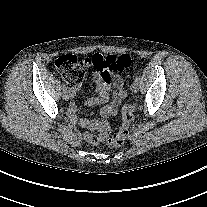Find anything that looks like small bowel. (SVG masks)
I'll return each mask as SVG.
<instances>
[{
    "mask_svg": "<svg viewBox=\"0 0 207 207\" xmlns=\"http://www.w3.org/2000/svg\"><path fill=\"white\" fill-rule=\"evenodd\" d=\"M93 82L96 86V90L99 94L98 97H90L85 101L87 106H93L95 104H102L100 109V115L104 118L113 116L117 113L121 101L124 99L126 93L124 90V80L121 76L109 72L107 77H104L101 72H95L93 74ZM111 84L114 90L111 91ZM71 97L76 94L75 89L69 91ZM68 112L71 120L74 123L79 124L82 128L88 130H98V120L93 119H78L76 116L77 106L75 102L71 101L68 107Z\"/></svg>",
    "mask_w": 207,
    "mask_h": 207,
    "instance_id": "small-bowel-1",
    "label": "small bowel"
}]
</instances>
